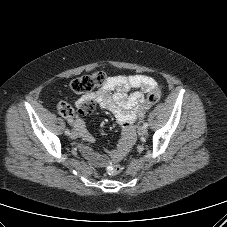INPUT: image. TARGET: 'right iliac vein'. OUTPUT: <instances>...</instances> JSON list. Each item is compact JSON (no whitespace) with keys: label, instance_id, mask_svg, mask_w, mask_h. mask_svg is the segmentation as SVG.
Instances as JSON below:
<instances>
[{"label":"right iliac vein","instance_id":"right-iliac-vein-1","mask_svg":"<svg viewBox=\"0 0 227 227\" xmlns=\"http://www.w3.org/2000/svg\"><path fill=\"white\" fill-rule=\"evenodd\" d=\"M70 137L72 139H76L78 137V132L76 130H72V132L70 133Z\"/></svg>","mask_w":227,"mask_h":227}]
</instances>
